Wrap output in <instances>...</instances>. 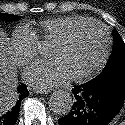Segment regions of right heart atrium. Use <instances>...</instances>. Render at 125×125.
I'll list each match as a JSON object with an SVG mask.
<instances>
[{
  "label": "right heart atrium",
  "instance_id": "obj_1",
  "mask_svg": "<svg viewBox=\"0 0 125 125\" xmlns=\"http://www.w3.org/2000/svg\"><path fill=\"white\" fill-rule=\"evenodd\" d=\"M39 39L29 26H19L12 32L9 48L14 62L24 66L39 52Z\"/></svg>",
  "mask_w": 125,
  "mask_h": 125
}]
</instances>
